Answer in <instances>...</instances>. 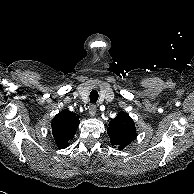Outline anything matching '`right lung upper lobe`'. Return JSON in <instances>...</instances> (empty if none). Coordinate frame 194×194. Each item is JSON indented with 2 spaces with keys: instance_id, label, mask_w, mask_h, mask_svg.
Instances as JSON below:
<instances>
[{
  "instance_id": "right-lung-upper-lobe-1",
  "label": "right lung upper lobe",
  "mask_w": 194,
  "mask_h": 194,
  "mask_svg": "<svg viewBox=\"0 0 194 194\" xmlns=\"http://www.w3.org/2000/svg\"><path fill=\"white\" fill-rule=\"evenodd\" d=\"M79 118L68 110L59 112L51 123V134L60 149L69 146V140L75 135Z\"/></svg>"
}]
</instances>
